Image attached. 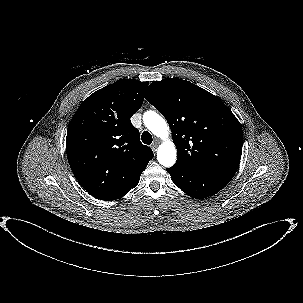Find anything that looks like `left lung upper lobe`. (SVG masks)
I'll return each instance as SVG.
<instances>
[{"instance_id":"5c2ea615","label":"left lung upper lobe","mask_w":303,"mask_h":303,"mask_svg":"<svg viewBox=\"0 0 303 303\" xmlns=\"http://www.w3.org/2000/svg\"><path fill=\"white\" fill-rule=\"evenodd\" d=\"M147 100L169 124L178 155L174 166L238 169L242 127L218 97L191 82L167 78L150 84Z\"/></svg>"}]
</instances>
